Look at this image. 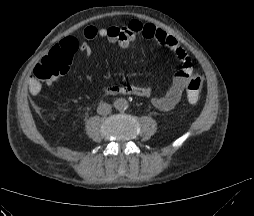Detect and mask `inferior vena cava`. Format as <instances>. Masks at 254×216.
I'll list each match as a JSON object with an SVG mask.
<instances>
[{
  "instance_id": "obj_1",
  "label": "inferior vena cava",
  "mask_w": 254,
  "mask_h": 216,
  "mask_svg": "<svg viewBox=\"0 0 254 216\" xmlns=\"http://www.w3.org/2000/svg\"><path fill=\"white\" fill-rule=\"evenodd\" d=\"M112 106L108 103H100L97 107V113L100 115H108L111 113Z\"/></svg>"
}]
</instances>
